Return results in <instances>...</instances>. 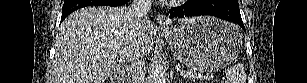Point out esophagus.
<instances>
[{
    "label": "esophagus",
    "instance_id": "esophagus-1",
    "mask_svg": "<svg viewBox=\"0 0 307 83\" xmlns=\"http://www.w3.org/2000/svg\"><path fill=\"white\" fill-rule=\"evenodd\" d=\"M156 21H157V25L159 28L161 29H166L168 28L166 21H165V16L161 13H158L157 17H156Z\"/></svg>",
    "mask_w": 307,
    "mask_h": 83
}]
</instances>
